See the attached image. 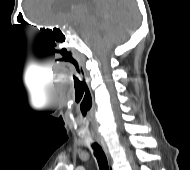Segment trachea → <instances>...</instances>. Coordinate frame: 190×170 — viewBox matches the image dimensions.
<instances>
[{
  "instance_id": "trachea-1",
  "label": "trachea",
  "mask_w": 190,
  "mask_h": 170,
  "mask_svg": "<svg viewBox=\"0 0 190 170\" xmlns=\"http://www.w3.org/2000/svg\"><path fill=\"white\" fill-rule=\"evenodd\" d=\"M84 114H86V111ZM92 148L94 150V156L97 159L100 170H109L107 158L101 147L97 143H93Z\"/></svg>"
}]
</instances>
